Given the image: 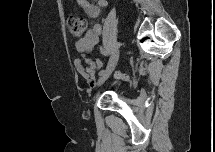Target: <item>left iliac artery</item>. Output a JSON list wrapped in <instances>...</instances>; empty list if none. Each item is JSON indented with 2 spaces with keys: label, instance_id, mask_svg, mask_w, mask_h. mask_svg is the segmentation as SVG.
I'll list each match as a JSON object with an SVG mask.
<instances>
[{
  "label": "left iliac artery",
  "instance_id": "1",
  "mask_svg": "<svg viewBox=\"0 0 215 152\" xmlns=\"http://www.w3.org/2000/svg\"><path fill=\"white\" fill-rule=\"evenodd\" d=\"M105 73L103 71H98V76H103Z\"/></svg>",
  "mask_w": 215,
  "mask_h": 152
}]
</instances>
